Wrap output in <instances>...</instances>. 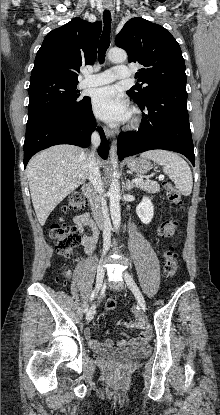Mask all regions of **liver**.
<instances>
[{"label":"liver","instance_id":"6515ba94","mask_svg":"<svg viewBox=\"0 0 220 415\" xmlns=\"http://www.w3.org/2000/svg\"><path fill=\"white\" fill-rule=\"evenodd\" d=\"M89 154L73 145H56L35 155L26 168L37 219L44 225L50 213L89 178ZM100 166L102 161L99 160Z\"/></svg>","mask_w":220,"mask_h":415}]
</instances>
